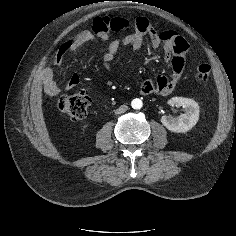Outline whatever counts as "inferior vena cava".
I'll return each instance as SVG.
<instances>
[{
    "label": "inferior vena cava",
    "mask_w": 236,
    "mask_h": 236,
    "mask_svg": "<svg viewBox=\"0 0 236 236\" xmlns=\"http://www.w3.org/2000/svg\"><path fill=\"white\" fill-rule=\"evenodd\" d=\"M127 109H128V106L121 105L118 109H116L115 113L116 114H122V113L126 112Z\"/></svg>",
    "instance_id": "inferior-vena-cava-1"
}]
</instances>
